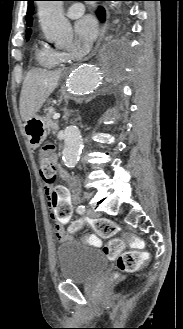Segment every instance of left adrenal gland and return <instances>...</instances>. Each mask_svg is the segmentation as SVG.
Returning <instances> with one entry per match:
<instances>
[{"label": "left adrenal gland", "mask_w": 183, "mask_h": 329, "mask_svg": "<svg viewBox=\"0 0 183 329\" xmlns=\"http://www.w3.org/2000/svg\"><path fill=\"white\" fill-rule=\"evenodd\" d=\"M64 118H65V120H67L68 119V116H69V113H68V111H67V109L66 108H64Z\"/></svg>", "instance_id": "left-adrenal-gland-1"}]
</instances>
